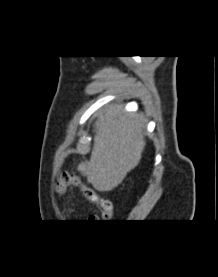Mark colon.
Segmentation results:
<instances>
[{
  "label": "colon",
  "mask_w": 218,
  "mask_h": 277,
  "mask_svg": "<svg viewBox=\"0 0 218 277\" xmlns=\"http://www.w3.org/2000/svg\"><path fill=\"white\" fill-rule=\"evenodd\" d=\"M76 185L80 186L88 200L95 203L99 209L100 216L102 218H110L112 216V204L109 200L99 197L93 190L82 185L78 178L75 176L63 172L60 174L57 180L56 190L58 193H63L67 186ZM91 220L95 219V216L90 217Z\"/></svg>",
  "instance_id": "colon-1"
}]
</instances>
